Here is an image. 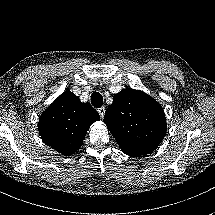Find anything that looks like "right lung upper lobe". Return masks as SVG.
Returning <instances> with one entry per match:
<instances>
[{
  "mask_svg": "<svg viewBox=\"0 0 215 215\" xmlns=\"http://www.w3.org/2000/svg\"><path fill=\"white\" fill-rule=\"evenodd\" d=\"M99 119L89 103H82L75 94L65 91L43 111L38 129L48 146L69 156L81 147L89 127Z\"/></svg>",
  "mask_w": 215,
  "mask_h": 215,
  "instance_id": "1",
  "label": "right lung upper lobe"
}]
</instances>
